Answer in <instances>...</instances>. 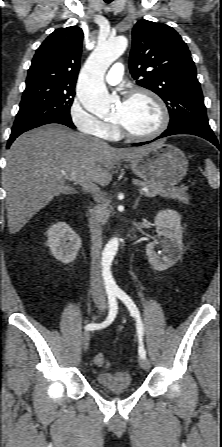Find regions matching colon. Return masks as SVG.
I'll return each instance as SVG.
<instances>
[{
  "instance_id": "obj_1",
  "label": "colon",
  "mask_w": 222,
  "mask_h": 447,
  "mask_svg": "<svg viewBox=\"0 0 222 447\" xmlns=\"http://www.w3.org/2000/svg\"><path fill=\"white\" fill-rule=\"evenodd\" d=\"M94 363L96 364V365H105L106 363H107V361H106V358H105V356H104V354H102V353H97L95 356H94Z\"/></svg>"
}]
</instances>
